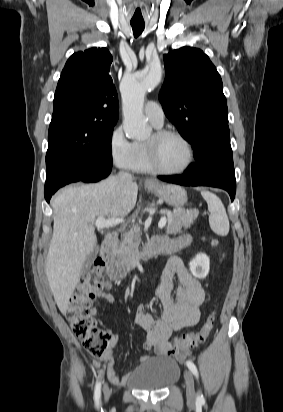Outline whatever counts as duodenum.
Segmentation results:
<instances>
[{
  "label": "duodenum",
  "mask_w": 283,
  "mask_h": 412,
  "mask_svg": "<svg viewBox=\"0 0 283 412\" xmlns=\"http://www.w3.org/2000/svg\"><path fill=\"white\" fill-rule=\"evenodd\" d=\"M118 239V232H110L104 239L100 253L99 259L104 264L105 274L108 278L118 281L125 278L132 271H134L138 264L144 260L160 254V253H170L173 247L166 244L158 239L151 240L133 257L130 261L125 263L117 262L115 258V249Z\"/></svg>",
  "instance_id": "duodenum-1"
}]
</instances>
